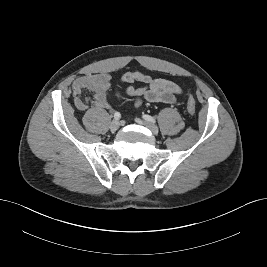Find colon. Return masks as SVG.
<instances>
[{"instance_id":"5ec220e1","label":"colon","mask_w":267,"mask_h":267,"mask_svg":"<svg viewBox=\"0 0 267 267\" xmlns=\"http://www.w3.org/2000/svg\"><path fill=\"white\" fill-rule=\"evenodd\" d=\"M187 111L192 116L196 113V103L192 96H189L187 99Z\"/></svg>"}]
</instances>
